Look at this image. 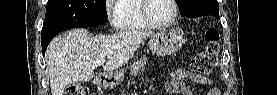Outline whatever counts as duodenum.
<instances>
[{"instance_id":"410a0bca","label":"duodenum","mask_w":277,"mask_h":95,"mask_svg":"<svg viewBox=\"0 0 277 95\" xmlns=\"http://www.w3.org/2000/svg\"><path fill=\"white\" fill-rule=\"evenodd\" d=\"M103 81H104V76H100V77H99V84H102Z\"/></svg>"}]
</instances>
